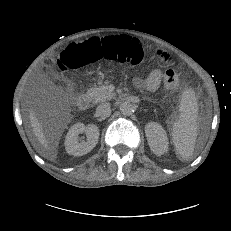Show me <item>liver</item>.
I'll use <instances>...</instances> for the list:
<instances>
[{"label":"liver","mask_w":231,"mask_h":231,"mask_svg":"<svg viewBox=\"0 0 231 231\" xmlns=\"http://www.w3.org/2000/svg\"><path fill=\"white\" fill-rule=\"evenodd\" d=\"M30 122L34 135L36 136L41 146L38 152L43 157L54 159L56 157V152L54 151V148L49 145V142L43 132L42 125L40 124L33 111L30 112Z\"/></svg>","instance_id":"liver-1"}]
</instances>
